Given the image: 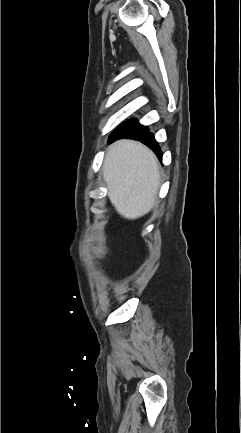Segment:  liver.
Masks as SVG:
<instances>
[{"label": "liver", "instance_id": "6515ba94", "mask_svg": "<svg viewBox=\"0 0 241 433\" xmlns=\"http://www.w3.org/2000/svg\"><path fill=\"white\" fill-rule=\"evenodd\" d=\"M103 175L108 197L124 218H140L155 205L160 186L159 163L143 144L132 140L113 143L104 160Z\"/></svg>", "mask_w": 241, "mask_h": 433}]
</instances>
